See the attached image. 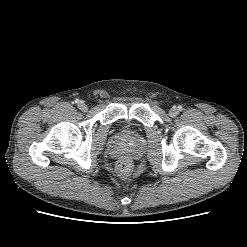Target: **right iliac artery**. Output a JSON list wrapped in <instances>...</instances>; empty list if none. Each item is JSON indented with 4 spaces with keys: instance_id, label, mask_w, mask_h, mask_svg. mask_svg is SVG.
<instances>
[{
    "instance_id": "obj_1",
    "label": "right iliac artery",
    "mask_w": 247,
    "mask_h": 247,
    "mask_svg": "<svg viewBox=\"0 0 247 247\" xmlns=\"http://www.w3.org/2000/svg\"><path fill=\"white\" fill-rule=\"evenodd\" d=\"M79 102H80L79 99H76V100H75V103H79Z\"/></svg>"
}]
</instances>
